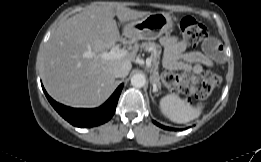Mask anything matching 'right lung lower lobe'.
<instances>
[{"mask_svg":"<svg viewBox=\"0 0 261 162\" xmlns=\"http://www.w3.org/2000/svg\"><path fill=\"white\" fill-rule=\"evenodd\" d=\"M42 88L50 104L65 120L76 127L84 128L98 126L111 119L115 113L123 84L115 90L112 96L102 106L94 109H78L64 106L53 100L43 86Z\"/></svg>","mask_w":261,"mask_h":162,"instance_id":"obj_1","label":"right lung lower lobe"}]
</instances>
